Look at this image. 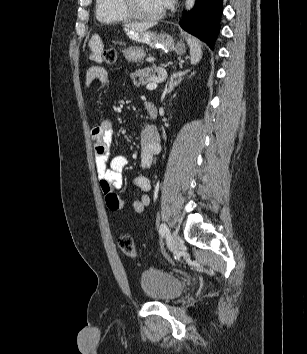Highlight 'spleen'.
Masks as SVG:
<instances>
[{"instance_id":"spleen-1","label":"spleen","mask_w":307,"mask_h":354,"mask_svg":"<svg viewBox=\"0 0 307 354\" xmlns=\"http://www.w3.org/2000/svg\"><path fill=\"white\" fill-rule=\"evenodd\" d=\"M188 44L190 46L191 64H197L202 58V46L195 38L188 39Z\"/></svg>"}]
</instances>
